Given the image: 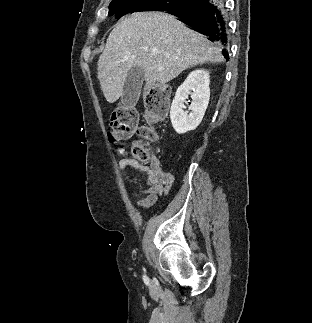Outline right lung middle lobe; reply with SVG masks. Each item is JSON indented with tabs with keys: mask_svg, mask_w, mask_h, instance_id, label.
<instances>
[{
	"mask_svg": "<svg viewBox=\"0 0 312 323\" xmlns=\"http://www.w3.org/2000/svg\"><path fill=\"white\" fill-rule=\"evenodd\" d=\"M186 2L188 0H113L108 14L119 19L128 13L166 10L182 6Z\"/></svg>",
	"mask_w": 312,
	"mask_h": 323,
	"instance_id": "dd1d6c3e",
	"label": "right lung middle lobe"
}]
</instances>
